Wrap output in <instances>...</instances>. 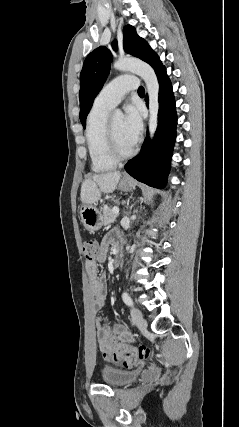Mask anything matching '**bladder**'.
<instances>
[{"label":"bladder","instance_id":"obj_1","mask_svg":"<svg viewBox=\"0 0 239 427\" xmlns=\"http://www.w3.org/2000/svg\"><path fill=\"white\" fill-rule=\"evenodd\" d=\"M137 370L105 368L102 370V380L110 386H124L137 379Z\"/></svg>","mask_w":239,"mask_h":427}]
</instances>
